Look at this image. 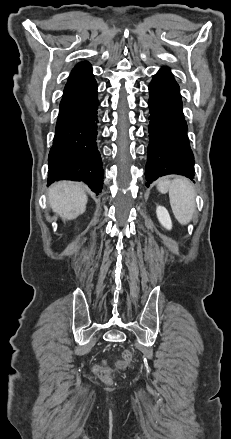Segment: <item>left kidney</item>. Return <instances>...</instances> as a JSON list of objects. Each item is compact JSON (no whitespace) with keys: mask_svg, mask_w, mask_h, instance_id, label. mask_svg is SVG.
<instances>
[{"mask_svg":"<svg viewBox=\"0 0 231 439\" xmlns=\"http://www.w3.org/2000/svg\"><path fill=\"white\" fill-rule=\"evenodd\" d=\"M156 214L161 225L170 230L172 228V221L167 209L163 206H158L156 209Z\"/></svg>","mask_w":231,"mask_h":439,"instance_id":"1","label":"left kidney"}]
</instances>
